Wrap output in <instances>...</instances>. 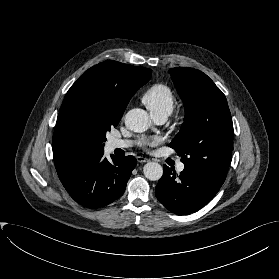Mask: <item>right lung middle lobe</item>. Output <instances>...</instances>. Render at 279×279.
I'll return each mask as SVG.
<instances>
[{"label":"right lung middle lobe","mask_w":279,"mask_h":279,"mask_svg":"<svg viewBox=\"0 0 279 279\" xmlns=\"http://www.w3.org/2000/svg\"><path fill=\"white\" fill-rule=\"evenodd\" d=\"M118 123L119 120L94 113L80 95L73 93L67 99L55 136L68 153L82 158L103 152L106 133Z\"/></svg>","instance_id":"dd1d6c3e"}]
</instances>
